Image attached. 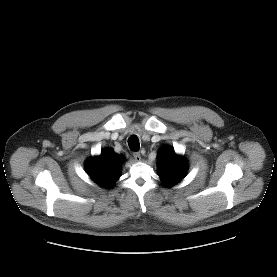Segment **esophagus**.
Returning a JSON list of instances; mask_svg holds the SVG:
<instances>
[{"instance_id": "34e87169", "label": "esophagus", "mask_w": 277, "mask_h": 277, "mask_svg": "<svg viewBox=\"0 0 277 277\" xmlns=\"http://www.w3.org/2000/svg\"><path fill=\"white\" fill-rule=\"evenodd\" d=\"M133 156L135 158L136 161H140L141 160V155L140 152H134Z\"/></svg>"}]
</instances>
